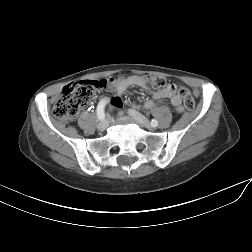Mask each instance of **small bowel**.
Listing matches in <instances>:
<instances>
[{
    "mask_svg": "<svg viewBox=\"0 0 252 252\" xmlns=\"http://www.w3.org/2000/svg\"><path fill=\"white\" fill-rule=\"evenodd\" d=\"M136 86L140 88H146V82L140 76H128L121 77L118 79L110 78L108 79L107 90L109 92H114L117 95L122 94L127 88ZM164 99H169L171 105L177 110L182 111L181 98L176 94L175 90L162 89L158 90L153 94V99L148 100L144 103V107L147 109H151L156 106L157 103L161 102ZM102 100H107L106 98H102ZM100 101V102H101ZM112 105L114 107L120 108L122 106L121 101L118 99H113Z\"/></svg>",
    "mask_w": 252,
    "mask_h": 252,
    "instance_id": "obj_1",
    "label": "small bowel"
}]
</instances>
